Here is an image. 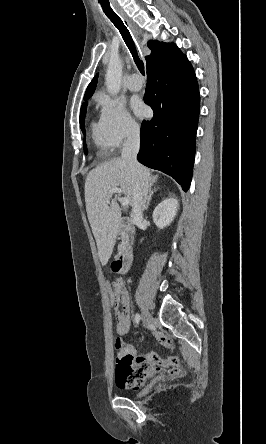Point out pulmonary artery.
Instances as JSON below:
<instances>
[{"label": "pulmonary artery", "mask_w": 266, "mask_h": 444, "mask_svg": "<svg viewBox=\"0 0 266 444\" xmlns=\"http://www.w3.org/2000/svg\"><path fill=\"white\" fill-rule=\"evenodd\" d=\"M143 83L139 77L138 74L133 73L129 76V79L127 81V87L131 91H139L142 89Z\"/></svg>", "instance_id": "e3ab8cb5"}]
</instances>
